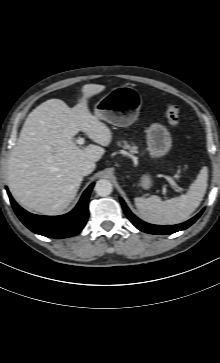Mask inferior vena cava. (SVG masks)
Wrapping results in <instances>:
<instances>
[{
    "mask_svg": "<svg viewBox=\"0 0 220 363\" xmlns=\"http://www.w3.org/2000/svg\"><path fill=\"white\" fill-rule=\"evenodd\" d=\"M95 163L92 161H86L81 165V173L82 175H88L95 169Z\"/></svg>",
    "mask_w": 220,
    "mask_h": 363,
    "instance_id": "1",
    "label": "inferior vena cava"
}]
</instances>
